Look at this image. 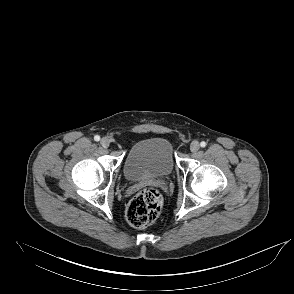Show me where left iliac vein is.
<instances>
[{
	"label": "left iliac vein",
	"instance_id": "1",
	"mask_svg": "<svg viewBox=\"0 0 294 294\" xmlns=\"http://www.w3.org/2000/svg\"><path fill=\"white\" fill-rule=\"evenodd\" d=\"M200 148V145L198 143V141H193L191 144H190V150L191 152L195 153L199 150Z\"/></svg>",
	"mask_w": 294,
	"mask_h": 294
}]
</instances>
